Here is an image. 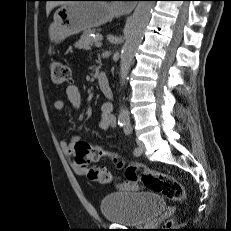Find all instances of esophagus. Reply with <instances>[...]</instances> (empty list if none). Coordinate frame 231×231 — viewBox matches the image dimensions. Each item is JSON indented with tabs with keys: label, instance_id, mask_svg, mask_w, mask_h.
<instances>
[{
	"label": "esophagus",
	"instance_id": "esophagus-1",
	"mask_svg": "<svg viewBox=\"0 0 231 231\" xmlns=\"http://www.w3.org/2000/svg\"><path fill=\"white\" fill-rule=\"evenodd\" d=\"M120 7L127 11H132L135 5L134 4H120Z\"/></svg>",
	"mask_w": 231,
	"mask_h": 231
}]
</instances>
